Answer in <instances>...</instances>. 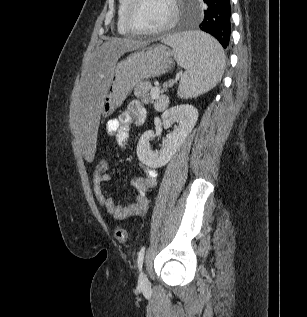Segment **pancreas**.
Returning a JSON list of instances; mask_svg holds the SVG:
<instances>
[{"mask_svg":"<svg viewBox=\"0 0 307 317\" xmlns=\"http://www.w3.org/2000/svg\"><path fill=\"white\" fill-rule=\"evenodd\" d=\"M152 86L149 82L144 81L136 85L134 89V94L137 98H142L145 103L153 102L150 90Z\"/></svg>","mask_w":307,"mask_h":317,"instance_id":"cf45deb5","label":"pancreas"}]
</instances>
